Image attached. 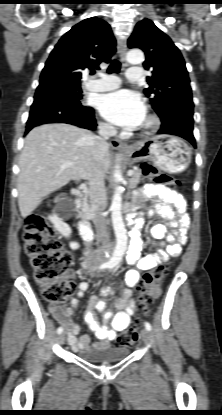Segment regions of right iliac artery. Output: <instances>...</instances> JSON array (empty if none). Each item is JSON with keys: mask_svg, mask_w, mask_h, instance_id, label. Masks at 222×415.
Segmentation results:
<instances>
[{"mask_svg": "<svg viewBox=\"0 0 222 415\" xmlns=\"http://www.w3.org/2000/svg\"><path fill=\"white\" fill-rule=\"evenodd\" d=\"M101 268L103 269V268H106V266H101ZM63 332V327H59L58 329H57V333L58 334H61Z\"/></svg>", "mask_w": 222, "mask_h": 415, "instance_id": "obj_1", "label": "right iliac artery"}]
</instances>
